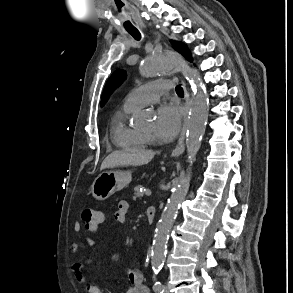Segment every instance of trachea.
Returning a JSON list of instances; mask_svg holds the SVG:
<instances>
[{
  "label": "trachea",
  "mask_w": 293,
  "mask_h": 293,
  "mask_svg": "<svg viewBox=\"0 0 293 293\" xmlns=\"http://www.w3.org/2000/svg\"><path fill=\"white\" fill-rule=\"evenodd\" d=\"M128 33L133 36L134 39L140 40L141 34L137 29H127ZM177 93H182V88L180 86L176 87Z\"/></svg>",
  "instance_id": "obj_1"
}]
</instances>
